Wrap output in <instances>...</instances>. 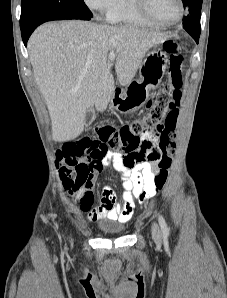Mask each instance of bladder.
I'll list each match as a JSON object with an SVG mask.
<instances>
[{"label":"bladder","instance_id":"1","mask_svg":"<svg viewBox=\"0 0 227 298\" xmlns=\"http://www.w3.org/2000/svg\"><path fill=\"white\" fill-rule=\"evenodd\" d=\"M99 229L106 235H120L125 232L126 227L117 222H103L99 224Z\"/></svg>","mask_w":227,"mask_h":298}]
</instances>
